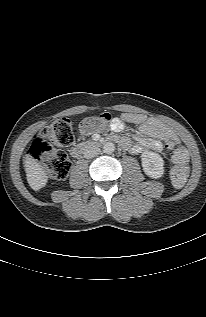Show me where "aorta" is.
<instances>
[{"label":"aorta","instance_id":"aorta-1","mask_svg":"<svg viewBox=\"0 0 206 317\" xmlns=\"http://www.w3.org/2000/svg\"><path fill=\"white\" fill-rule=\"evenodd\" d=\"M115 150V145L112 142H107L103 145V151L106 154H111Z\"/></svg>","mask_w":206,"mask_h":317}]
</instances>
